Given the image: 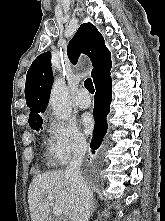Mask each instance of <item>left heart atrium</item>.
Masks as SVG:
<instances>
[{"instance_id":"39dd6f15","label":"left heart atrium","mask_w":165,"mask_h":221,"mask_svg":"<svg viewBox=\"0 0 165 221\" xmlns=\"http://www.w3.org/2000/svg\"><path fill=\"white\" fill-rule=\"evenodd\" d=\"M82 125L86 133L90 134L94 128V120L93 117L89 114H85L82 117Z\"/></svg>"}]
</instances>
